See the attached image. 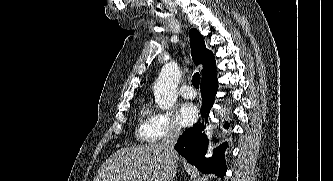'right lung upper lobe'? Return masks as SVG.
Returning <instances> with one entry per match:
<instances>
[{
	"instance_id": "obj_1",
	"label": "right lung upper lobe",
	"mask_w": 333,
	"mask_h": 181,
	"mask_svg": "<svg viewBox=\"0 0 333 181\" xmlns=\"http://www.w3.org/2000/svg\"><path fill=\"white\" fill-rule=\"evenodd\" d=\"M191 54L195 64H203L202 83L217 79L214 55L207 50L203 37L196 29L189 32Z\"/></svg>"
}]
</instances>
